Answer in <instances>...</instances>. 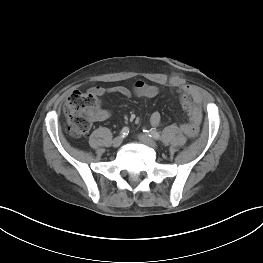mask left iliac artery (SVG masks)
I'll use <instances>...</instances> for the list:
<instances>
[{
    "instance_id": "1",
    "label": "left iliac artery",
    "mask_w": 263,
    "mask_h": 263,
    "mask_svg": "<svg viewBox=\"0 0 263 263\" xmlns=\"http://www.w3.org/2000/svg\"><path fill=\"white\" fill-rule=\"evenodd\" d=\"M146 132H148L149 136L154 138L155 140L161 139L160 134L154 129H150L149 131H146Z\"/></svg>"
}]
</instances>
